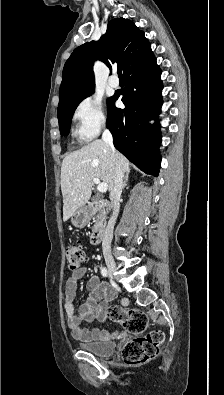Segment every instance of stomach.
I'll list each match as a JSON object with an SVG mask.
<instances>
[{
    "label": "stomach",
    "mask_w": 224,
    "mask_h": 395,
    "mask_svg": "<svg viewBox=\"0 0 224 395\" xmlns=\"http://www.w3.org/2000/svg\"><path fill=\"white\" fill-rule=\"evenodd\" d=\"M90 220V212L87 207H81L71 216V222L75 227L82 228Z\"/></svg>",
    "instance_id": "1"
}]
</instances>
